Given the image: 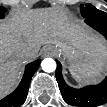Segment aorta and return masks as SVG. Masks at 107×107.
Wrapping results in <instances>:
<instances>
[{"mask_svg": "<svg viewBox=\"0 0 107 107\" xmlns=\"http://www.w3.org/2000/svg\"><path fill=\"white\" fill-rule=\"evenodd\" d=\"M41 67L43 69V71L47 72V73H51L54 72L56 70V62L54 59L52 58H45L42 62H41Z\"/></svg>", "mask_w": 107, "mask_h": 107, "instance_id": "1", "label": "aorta"}]
</instances>
